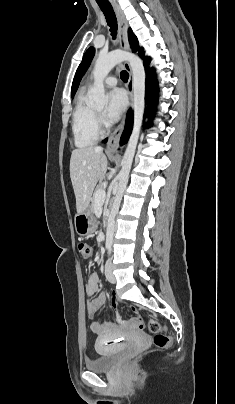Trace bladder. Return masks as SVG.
<instances>
[{"instance_id":"obj_1","label":"bladder","mask_w":235,"mask_h":404,"mask_svg":"<svg viewBox=\"0 0 235 404\" xmlns=\"http://www.w3.org/2000/svg\"><path fill=\"white\" fill-rule=\"evenodd\" d=\"M96 348L99 352L105 351V349L101 346H97ZM122 353L123 349L114 350L113 352L107 354H100L94 360L85 362V367L88 370L96 373L108 372L114 367Z\"/></svg>"}]
</instances>
